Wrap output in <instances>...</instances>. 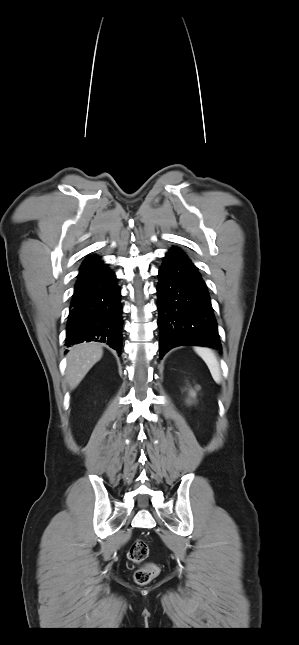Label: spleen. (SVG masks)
<instances>
[{"label": "spleen", "instance_id": "1", "mask_svg": "<svg viewBox=\"0 0 299 645\" xmlns=\"http://www.w3.org/2000/svg\"><path fill=\"white\" fill-rule=\"evenodd\" d=\"M195 352L204 360L210 370L212 378L219 384L221 382V372L214 352L205 347H196Z\"/></svg>", "mask_w": 299, "mask_h": 645}]
</instances>
